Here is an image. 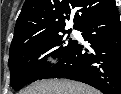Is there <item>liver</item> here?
<instances>
[{"label":"liver","instance_id":"liver-1","mask_svg":"<svg viewBox=\"0 0 121 94\" xmlns=\"http://www.w3.org/2000/svg\"><path fill=\"white\" fill-rule=\"evenodd\" d=\"M19 94H100V92L80 82L49 79L35 82Z\"/></svg>","mask_w":121,"mask_h":94}]
</instances>
